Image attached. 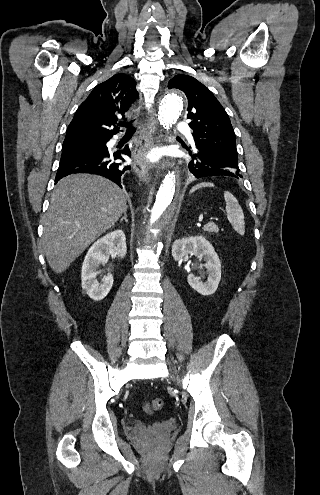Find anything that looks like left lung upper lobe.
Wrapping results in <instances>:
<instances>
[{
  "instance_id": "left-lung-upper-lobe-1",
  "label": "left lung upper lobe",
  "mask_w": 320,
  "mask_h": 495,
  "mask_svg": "<svg viewBox=\"0 0 320 495\" xmlns=\"http://www.w3.org/2000/svg\"><path fill=\"white\" fill-rule=\"evenodd\" d=\"M168 88L183 91L188 99L187 118L191 120L195 145L238 162L236 139L228 114L212 92L192 76L178 74ZM193 148V145L188 149Z\"/></svg>"
}]
</instances>
